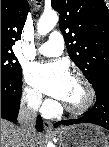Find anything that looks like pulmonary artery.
Listing matches in <instances>:
<instances>
[{
	"mask_svg": "<svg viewBox=\"0 0 109 147\" xmlns=\"http://www.w3.org/2000/svg\"><path fill=\"white\" fill-rule=\"evenodd\" d=\"M64 40L59 32L51 33L48 40L35 48V53L48 57H58L63 53Z\"/></svg>",
	"mask_w": 109,
	"mask_h": 147,
	"instance_id": "1",
	"label": "pulmonary artery"
}]
</instances>
